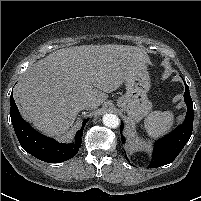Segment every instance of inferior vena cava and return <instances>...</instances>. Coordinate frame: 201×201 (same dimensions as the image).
Segmentation results:
<instances>
[{"instance_id": "1", "label": "inferior vena cava", "mask_w": 201, "mask_h": 201, "mask_svg": "<svg viewBox=\"0 0 201 201\" xmlns=\"http://www.w3.org/2000/svg\"><path fill=\"white\" fill-rule=\"evenodd\" d=\"M94 104L90 101H83L78 104V108L80 110H88L93 108Z\"/></svg>"}]
</instances>
